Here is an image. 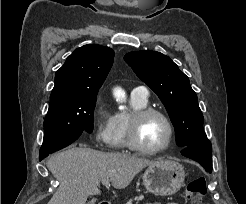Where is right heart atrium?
I'll use <instances>...</instances> for the list:
<instances>
[{
  "label": "right heart atrium",
  "mask_w": 246,
  "mask_h": 204,
  "mask_svg": "<svg viewBox=\"0 0 246 204\" xmlns=\"http://www.w3.org/2000/svg\"><path fill=\"white\" fill-rule=\"evenodd\" d=\"M113 115L107 109L103 98L98 96L93 110V135L98 145H106L109 142Z\"/></svg>",
  "instance_id": "1"
}]
</instances>
